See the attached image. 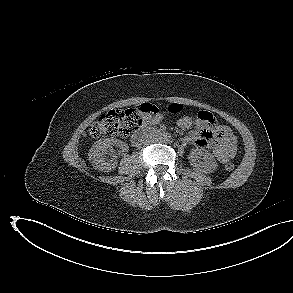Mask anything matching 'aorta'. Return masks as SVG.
<instances>
[{
	"instance_id": "aorta-1",
	"label": "aorta",
	"mask_w": 293,
	"mask_h": 293,
	"mask_svg": "<svg viewBox=\"0 0 293 293\" xmlns=\"http://www.w3.org/2000/svg\"><path fill=\"white\" fill-rule=\"evenodd\" d=\"M169 135L168 133H162L160 136H159V140L160 142H167L169 140Z\"/></svg>"
}]
</instances>
